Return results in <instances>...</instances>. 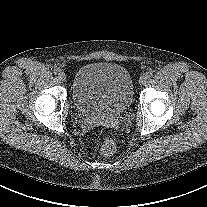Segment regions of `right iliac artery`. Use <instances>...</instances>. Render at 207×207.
<instances>
[{
	"mask_svg": "<svg viewBox=\"0 0 207 207\" xmlns=\"http://www.w3.org/2000/svg\"><path fill=\"white\" fill-rule=\"evenodd\" d=\"M59 71H60V70H59L58 68H55V69L53 70L54 74H58Z\"/></svg>",
	"mask_w": 207,
	"mask_h": 207,
	"instance_id": "82829eb1",
	"label": "right iliac artery"
}]
</instances>
